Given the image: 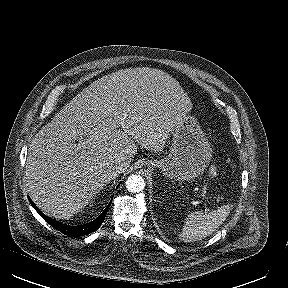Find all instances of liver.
Segmentation results:
<instances>
[{
    "label": "liver",
    "mask_w": 288,
    "mask_h": 288,
    "mask_svg": "<svg viewBox=\"0 0 288 288\" xmlns=\"http://www.w3.org/2000/svg\"><path fill=\"white\" fill-rule=\"evenodd\" d=\"M191 109L179 82L159 69H121L94 81L31 141L25 181L32 200L69 219L110 182L108 165L126 171L138 145L162 151Z\"/></svg>",
    "instance_id": "obj_1"
}]
</instances>
